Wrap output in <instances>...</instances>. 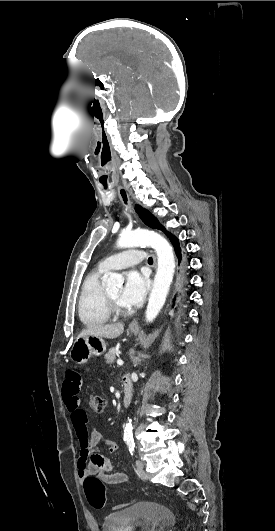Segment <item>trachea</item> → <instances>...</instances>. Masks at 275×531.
<instances>
[{
    "mask_svg": "<svg viewBox=\"0 0 275 531\" xmlns=\"http://www.w3.org/2000/svg\"><path fill=\"white\" fill-rule=\"evenodd\" d=\"M148 262H153V259L151 257L148 258Z\"/></svg>",
    "mask_w": 275,
    "mask_h": 531,
    "instance_id": "3493384b",
    "label": "trachea"
}]
</instances>
